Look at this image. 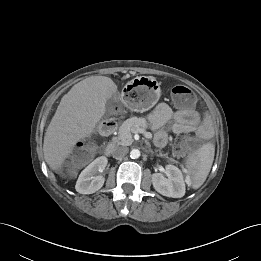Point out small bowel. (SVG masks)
Wrapping results in <instances>:
<instances>
[{"label": "small bowel", "instance_id": "obj_1", "mask_svg": "<svg viewBox=\"0 0 261 261\" xmlns=\"http://www.w3.org/2000/svg\"><path fill=\"white\" fill-rule=\"evenodd\" d=\"M150 127L156 130L155 143L164 147L168 142V131L174 134L194 133L200 138L208 139L213 135L209 118L201 119L194 109L174 110L167 103H159L149 114ZM169 124L168 130L164 127Z\"/></svg>", "mask_w": 261, "mask_h": 261}]
</instances>
